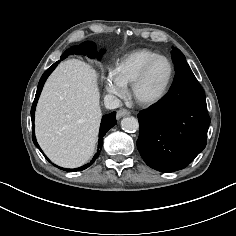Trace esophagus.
<instances>
[{"mask_svg": "<svg viewBox=\"0 0 236 236\" xmlns=\"http://www.w3.org/2000/svg\"><path fill=\"white\" fill-rule=\"evenodd\" d=\"M129 114H130V112L127 109H120L117 111L116 117H117V119H120L124 116H128Z\"/></svg>", "mask_w": 236, "mask_h": 236, "instance_id": "obj_1", "label": "esophagus"}]
</instances>
